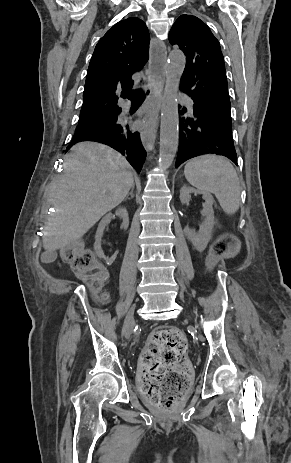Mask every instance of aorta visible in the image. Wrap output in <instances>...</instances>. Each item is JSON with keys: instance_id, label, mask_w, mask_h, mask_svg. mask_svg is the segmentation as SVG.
<instances>
[{"instance_id": "aorta-1", "label": "aorta", "mask_w": 291, "mask_h": 463, "mask_svg": "<svg viewBox=\"0 0 291 463\" xmlns=\"http://www.w3.org/2000/svg\"><path fill=\"white\" fill-rule=\"evenodd\" d=\"M186 65L181 52H172L166 66V85L161 108L159 165L167 169L173 162L179 142L177 92Z\"/></svg>"}]
</instances>
